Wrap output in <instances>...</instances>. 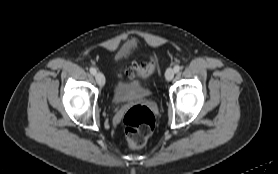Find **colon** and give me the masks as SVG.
<instances>
[{"label": "colon", "mask_w": 278, "mask_h": 174, "mask_svg": "<svg viewBox=\"0 0 278 174\" xmlns=\"http://www.w3.org/2000/svg\"><path fill=\"white\" fill-rule=\"evenodd\" d=\"M156 69V58L148 62L135 64L126 74L129 77L146 78ZM126 132V141L131 148H140L145 145L155 127V118L151 110L142 105L132 107L123 118Z\"/></svg>", "instance_id": "obj_1"}]
</instances>
